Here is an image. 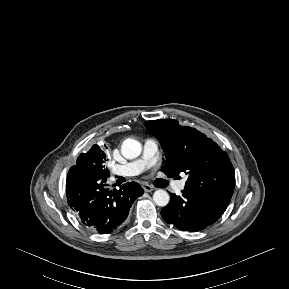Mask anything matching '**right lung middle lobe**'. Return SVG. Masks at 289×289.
<instances>
[{"label":"right lung middle lobe","mask_w":289,"mask_h":289,"mask_svg":"<svg viewBox=\"0 0 289 289\" xmlns=\"http://www.w3.org/2000/svg\"><path fill=\"white\" fill-rule=\"evenodd\" d=\"M106 154L104 150H97L90 157L78 158L77 165L73 166L76 168H81L100 179H106L110 176L109 170L105 167Z\"/></svg>","instance_id":"right-lung-middle-lobe-1"}]
</instances>
